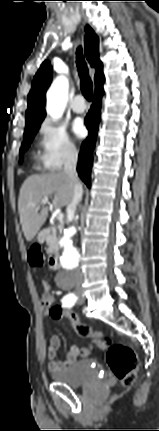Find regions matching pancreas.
Segmentation results:
<instances>
[{"instance_id": "pancreas-1", "label": "pancreas", "mask_w": 159, "mask_h": 431, "mask_svg": "<svg viewBox=\"0 0 159 431\" xmlns=\"http://www.w3.org/2000/svg\"><path fill=\"white\" fill-rule=\"evenodd\" d=\"M58 250V236L56 227H52V235L48 242L47 253H52Z\"/></svg>"}]
</instances>
